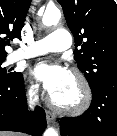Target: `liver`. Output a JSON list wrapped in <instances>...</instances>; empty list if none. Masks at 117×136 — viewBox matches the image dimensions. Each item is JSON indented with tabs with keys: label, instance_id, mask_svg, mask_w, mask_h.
Instances as JSON below:
<instances>
[{
	"label": "liver",
	"instance_id": "1",
	"mask_svg": "<svg viewBox=\"0 0 117 136\" xmlns=\"http://www.w3.org/2000/svg\"><path fill=\"white\" fill-rule=\"evenodd\" d=\"M0 136H18L14 133H6V132H0Z\"/></svg>",
	"mask_w": 117,
	"mask_h": 136
}]
</instances>
